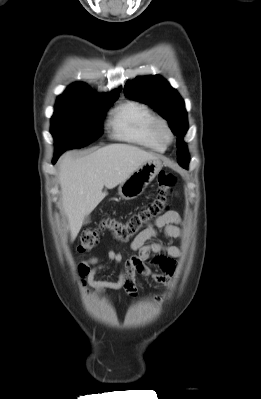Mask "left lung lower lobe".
Segmentation results:
<instances>
[{
  "label": "left lung lower lobe",
  "instance_id": "1",
  "mask_svg": "<svg viewBox=\"0 0 261 399\" xmlns=\"http://www.w3.org/2000/svg\"><path fill=\"white\" fill-rule=\"evenodd\" d=\"M187 166H188V165H183L182 167L187 169Z\"/></svg>",
  "mask_w": 261,
  "mask_h": 399
}]
</instances>
